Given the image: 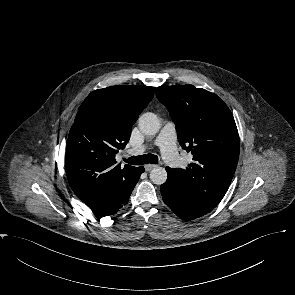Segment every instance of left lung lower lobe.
Masks as SVG:
<instances>
[{
	"instance_id": "0a47b994",
	"label": "left lung lower lobe",
	"mask_w": 295,
	"mask_h": 295,
	"mask_svg": "<svg viewBox=\"0 0 295 295\" xmlns=\"http://www.w3.org/2000/svg\"><path fill=\"white\" fill-rule=\"evenodd\" d=\"M160 189L165 204L179 218L189 221L208 213L199 209L195 204H193V202L185 195L182 189L172 182L169 175L167 181L161 185Z\"/></svg>"
}]
</instances>
